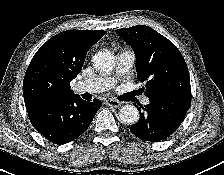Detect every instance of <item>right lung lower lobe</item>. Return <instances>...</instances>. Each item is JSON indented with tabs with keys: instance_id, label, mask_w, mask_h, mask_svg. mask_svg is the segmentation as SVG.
Segmentation results:
<instances>
[{
	"instance_id": "obj_1",
	"label": "right lung lower lobe",
	"mask_w": 224,
	"mask_h": 175,
	"mask_svg": "<svg viewBox=\"0 0 224 175\" xmlns=\"http://www.w3.org/2000/svg\"><path fill=\"white\" fill-rule=\"evenodd\" d=\"M34 128L55 144L68 143L83 134L101 107V101L86 102L78 95L43 97L25 103Z\"/></svg>"
}]
</instances>
